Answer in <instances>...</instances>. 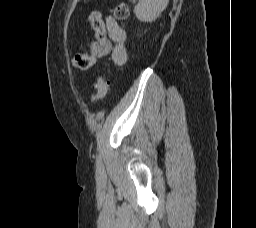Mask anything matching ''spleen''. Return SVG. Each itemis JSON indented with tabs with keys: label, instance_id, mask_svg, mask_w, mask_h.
I'll list each match as a JSON object with an SVG mask.
<instances>
[{
	"label": "spleen",
	"instance_id": "spleen-1",
	"mask_svg": "<svg viewBox=\"0 0 256 228\" xmlns=\"http://www.w3.org/2000/svg\"><path fill=\"white\" fill-rule=\"evenodd\" d=\"M168 2L169 0H139L134 13L140 21L152 22L166 9Z\"/></svg>",
	"mask_w": 256,
	"mask_h": 228
}]
</instances>
